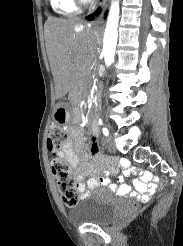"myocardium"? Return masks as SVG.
Listing matches in <instances>:
<instances>
[{"instance_id": "f54148a6", "label": "myocardium", "mask_w": 183, "mask_h": 246, "mask_svg": "<svg viewBox=\"0 0 183 246\" xmlns=\"http://www.w3.org/2000/svg\"><path fill=\"white\" fill-rule=\"evenodd\" d=\"M78 5H85L87 3V0H75Z\"/></svg>"}]
</instances>
